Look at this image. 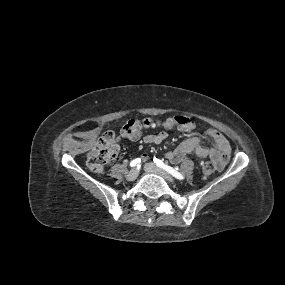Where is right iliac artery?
I'll list each match as a JSON object with an SVG mask.
<instances>
[{"label": "right iliac artery", "instance_id": "1", "mask_svg": "<svg viewBox=\"0 0 285 285\" xmlns=\"http://www.w3.org/2000/svg\"><path fill=\"white\" fill-rule=\"evenodd\" d=\"M140 162H141V159H140V158H136V159H134V160H132V161L130 162V166H131V167H135V166L139 165Z\"/></svg>", "mask_w": 285, "mask_h": 285}]
</instances>
